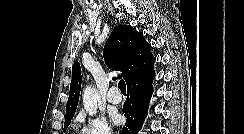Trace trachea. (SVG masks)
<instances>
[{"label": "trachea", "instance_id": "obj_1", "mask_svg": "<svg viewBox=\"0 0 244 134\" xmlns=\"http://www.w3.org/2000/svg\"><path fill=\"white\" fill-rule=\"evenodd\" d=\"M118 87L123 94H126V84L124 80H120L118 83Z\"/></svg>", "mask_w": 244, "mask_h": 134}]
</instances>
